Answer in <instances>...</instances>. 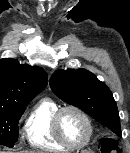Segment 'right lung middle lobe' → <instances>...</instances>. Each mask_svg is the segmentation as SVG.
Returning a JSON list of instances; mask_svg holds the SVG:
<instances>
[{"label": "right lung middle lobe", "instance_id": "1", "mask_svg": "<svg viewBox=\"0 0 130 153\" xmlns=\"http://www.w3.org/2000/svg\"><path fill=\"white\" fill-rule=\"evenodd\" d=\"M28 103L20 106L0 105V144L12 148L18 139V122Z\"/></svg>", "mask_w": 130, "mask_h": 153}]
</instances>
